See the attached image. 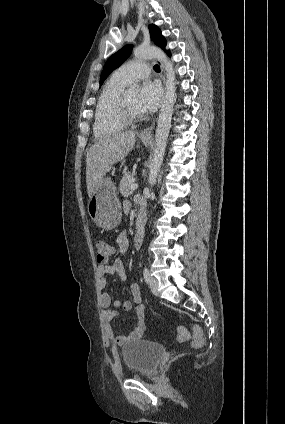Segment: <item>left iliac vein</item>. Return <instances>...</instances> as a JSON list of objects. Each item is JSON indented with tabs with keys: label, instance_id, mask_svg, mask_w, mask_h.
Returning <instances> with one entry per match:
<instances>
[{
	"label": "left iliac vein",
	"instance_id": "4c4485c4",
	"mask_svg": "<svg viewBox=\"0 0 285 424\" xmlns=\"http://www.w3.org/2000/svg\"><path fill=\"white\" fill-rule=\"evenodd\" d=\"M149 287L154 295H158V282L155 278H150Z\"/></svg>",
	"mask_w": 285,
	"mask_h": 424
}]
</instances>
